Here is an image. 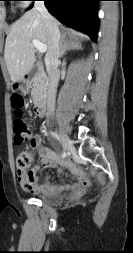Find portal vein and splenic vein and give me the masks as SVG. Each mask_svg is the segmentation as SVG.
I'll use <instances>...</instances> for the list:
<instances>
[{"label": "portal vein and splenic vein", "instance_id": "portal-vein-and-splenic-vein-1", "mask_svg": "<svg viewBox=\"0 0 133 253\" xmlns=\"http://www.w3.org/2000/svg\"><path fill=\"white\" fill-rule=\"evenodd\" d=\"M32 44L40 53H45L47 50V46L36 39L32 41Z\"/></svg>", "mask_w": 133, "mask_h": 253}]
</instances>
